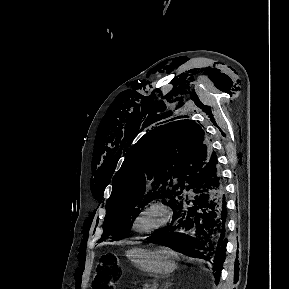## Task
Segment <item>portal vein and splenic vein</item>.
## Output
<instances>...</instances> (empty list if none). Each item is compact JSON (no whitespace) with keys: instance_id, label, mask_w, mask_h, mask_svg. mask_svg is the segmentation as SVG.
<instances>
[{"instance_id":"1","label":"portal vein and splenic vein","mask_w":289,"mask_h":289,"mask_svg":"<svg viewBox=\"0 0 289 289\" xmlns=\"http://www.w3.org/2000/svg\"><path fill=\"white\" fill-rule=\"evenodd\" d=\"M154 288H155V289L157 288V285H156V284L154 285Z\"/></svg>"}]
</instances>
